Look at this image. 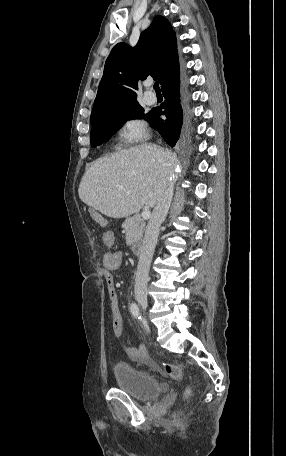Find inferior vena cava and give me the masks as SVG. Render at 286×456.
Instances as JSON below:
<instances>
[{
  "mask_svg": "<svg viewBox=\"0 0 286 456\" xmlns=\"http://www.w3.org/2000/svg\"><path fill=\"white\" fill-rule=\"evenodd\" d=\"M172 196V184L165 183L160 188L158 201L145 230L135 278V296H147L150 264L158 241L160 226L168 214Z\"/></svg>",
  "mask_w": 286,
  "mask_h": 456,
  "instance_id": "602c4592",
  "label": "inferior vena cava"
}]
</instances>
